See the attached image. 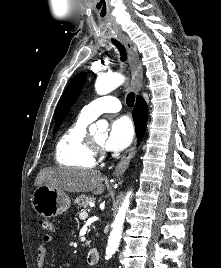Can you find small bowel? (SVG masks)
<instances>
[{
  "instance_id": "1",
  "label": "small bowel",
  "mask_w": 221,
  "mask_h": 268,
  "mask_svg": "<svg viewBox=\"0 0 221 268\" xmlns=\"http://www.w3.org/2000/svg\"><path fill=\"white\" fill-rule=\"evenodd\" d=\"M53 232L54 228L50 232L45 233L37 248V265L39 268H45L48 246L54 240Z\"/></svg>"
}]
</instances>
